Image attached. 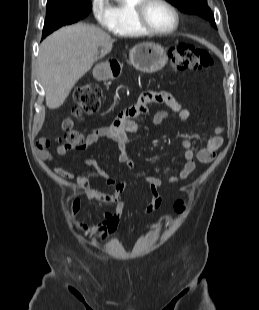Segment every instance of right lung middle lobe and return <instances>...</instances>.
<instances>
[{"label": "right lung middle lobe", "instance_id": "obj_1", "mask_svg": "<svg viewBox=\"0 0 259 310\" xmlns=\"http://www.w3.org/2000/svg\"><path fill=\"white\" fill-rule=\"evenodd\" d=\"M91 9L92 4L90 1L47 6L42 38L62 26L78 22L86 17Z\"/></svg>", "mask_w": 259, "mask_h": 310}]
</instances>
